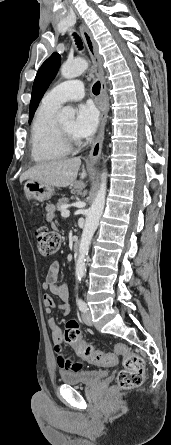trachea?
<instances>
[{"label":"trachea","mask_w":171,"mask_h":445,"mask_svg":"<svg viewBox=\"0 0 171 445\" xmlns=\"http://www.w3.org/2000/svg\"><path fill=\"white\" fill-rule=\"evenodd\" d=\"M73 35H74V38H75L77 47L79 48V50H82V49H83V46H82V41H81L80 37H79L76 33H74ZM100 88H101L100 82L97 81V82L93 85L92 92H93L95 95H98V94L100 93Z\"/></svg>","instance_id":"obj_1"}]
</instances>
